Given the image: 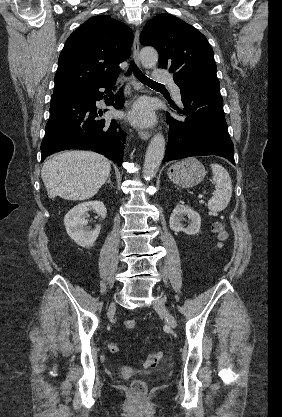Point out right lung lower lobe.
<instances>
[{"label": "right lung lower lobe", "instance_id": "obj_1", "mask_svg": "<svg viewBox=\"0 0 282 417\" xmlns=\"http://www.w3.org/2000/svg\"><path fill=\"white\" fill-rule=\"evenodd\" d=\"M115 80L70 90L51 98L50 118L41 143L42 159L67 149L92 150L103 154L121 166L126 133L112 120H96V101L102 99L99 88L113 87ZM107 105L121 109L124 104L123 90L115 95L109 91ZM102 114V113H101ZM99 112V115H101Z\"/></svg>", "mask_w": 282, "mask_h": 417}]
</instances>
